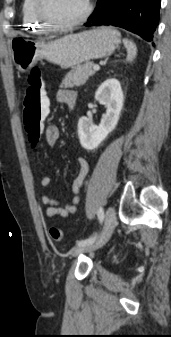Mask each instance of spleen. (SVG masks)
Masks as SVG:
<instances>
[{"label": "spleen", "instance_id": "1", "mask_svg": "<svg viewBox=\"0 0 171 337\" xmlns=\"http://www.w3.org/2000/svg\"><path fill=\"white\" fill-rule=\"evenodd\" d=\"M123 44L127 50V62H132L135 58H136V55H137V47H136V44L129 40V39H123Z\"/></svg>", "mask_w": 171, "mask_h": 337}]
</instances>
